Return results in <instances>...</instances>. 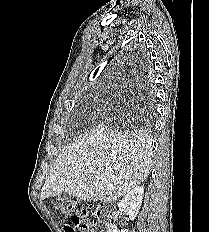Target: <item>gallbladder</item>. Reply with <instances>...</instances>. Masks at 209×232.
<instances>
[{
    "label": "gallbladder",
    "instance_id": "gallbladder-1",
    "mask_svg": "<svg viewBox=\"0 0 209 232\" xmlns=\"http://www.w3.org/2000/svg\"><path fill=\"white\" fill-rule=\"evenodd\" d=\"M67 198H68V195H67V194H61V195L58 196V200H60V201H64V200H66Z\"/></svg>",
    "mask_w": 209,
    "mask_h": 232
}]
</instances>
